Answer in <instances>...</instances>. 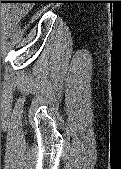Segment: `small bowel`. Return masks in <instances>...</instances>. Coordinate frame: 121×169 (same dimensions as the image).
<instances>
[{
  "label": "small bowel",
  "mask_w": 121,
  "mask_h": 169,
  "mask_svg": "<svg viewBox=\"0 0 121 169\" xmlns=\"http://www.w3.org/2000/svg\"><path fill=\"white\" fill-rule=\"evenodd\" d=\"M27 13H28V10L16 11L12 14V18L17 21L23 18Z\"/></svg>",
  "instance_id": "obj_1"
}]
</instances>
